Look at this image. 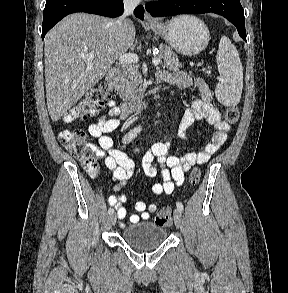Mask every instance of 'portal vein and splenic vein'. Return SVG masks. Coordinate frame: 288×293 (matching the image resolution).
<instances>
[{"instance_id":"18ae733b","label":"portal vein and splenic vein","mask_w":288,"mask_h":293,"mask_svg":"<svg viewBox=\"0 0 288 293\" xmlns=\"http://www.w3.org/2000/svg\"><path fill=\"white\" fill-rule=\"evenodd\" d=\"M82 58L86 61H92L95 58V55L93 53L85 54L82 55ZM138 55L135 53H125L119 56V61L120 62H137L138 61ZM160 58L159 57H154L153 59V64L155 66H158L160 63Z\"/></svg>"}]
</instances>
